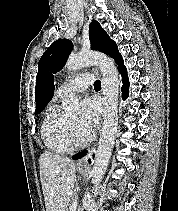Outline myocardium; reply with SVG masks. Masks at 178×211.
<instances>
[{
	"label": "myocardium",
	"mask_w": 178,
	"mask_h": 211,
	"mask_svg": "<svg viewBox=\"0 0 178 211\" xmlns=\"http://www.w3.org/2000/svg\"><path fill=\"white\" fill-rule=\"evenodd\" d=\"M66 141L70 148L74 150L85 147L89 143L90 137L87 136L81 141L78 140L73 125L69 120H66Z\"/></svg>",
	"instance_id": "f54148a6"
}]
</instances>
